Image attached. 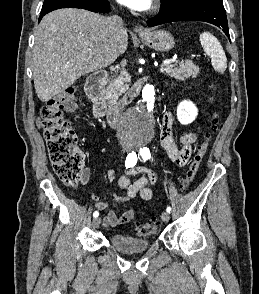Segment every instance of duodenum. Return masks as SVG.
Listing matches in <instances>:
<instances>
[{
    "instance_id": "1",
    "label": "duodenum",
    "mask_w": 259,
    "mask_h": 294,
    "mask_svg": "<svg viewBox=\"0 0 259 294\" xmlns=\"http://www.w3.org/2000/svg\"><path fill=\"white\" fill-rule=\"evenodd\" d=\"M107 78L106 71H97L92 73L86 82V93L94 105V114L97 118H106L112 127L119 124V108H110L108 105V96L104 89V82ZM143 86V81L137 82L130 91L129 97L136 96Z\"/></svg>"
}]
</instances>
